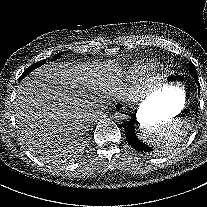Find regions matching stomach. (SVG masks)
I'll return each instance as SVG.
<instances>
[{
    "instance_id": "1",
    "label": "stomach",
    "mask_w": 207,
    "mask_h": 207,
    "mask_svg": "<svg viewBox=\"0 0 207 207\" xmlns=\"http://www.w3.org/2000/svg\"><path fill=\"white\" fill-rule=\"evenodd\" d=\"M184 83L181 73L168 74L163 85L140 104V125L157 124L178 115L185 104Z\"/></svg>"
}]
</instances>
